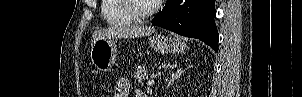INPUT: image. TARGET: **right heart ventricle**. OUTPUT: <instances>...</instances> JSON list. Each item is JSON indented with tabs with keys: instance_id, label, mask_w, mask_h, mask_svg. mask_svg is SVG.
Masks as SVG:
<instances>
[{
	"instance_id": "obj_1",
	"label": "right heart ventricle",
	"mask_w": 302,
	"mask_h": 97,
	"mask_svg": "<svg viewBox=\"0 0 302 97\" xmlns=\"http://www.w3.org/2000/svg\"><path fill=\"white\" fill-rule=\"evenodd\" d=\"M101 14L106 23L111 26H127L135 22L123 9L122 0H103Z\"/></svg>"
}]
</instances>
